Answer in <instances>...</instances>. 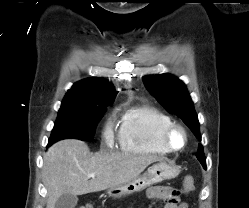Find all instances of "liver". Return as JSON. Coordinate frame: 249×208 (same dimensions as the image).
Masks as SVG:
<instances>
[{
  "label": "liver",
  "mask_w": 249,
  "mask_h": 208,
  "mask_svg": "<svg viewBox=\"0 0 249 208\" xmlns=\"http://www.w3.org/2000/svg\"><path fill=\"white\" fill-rule=\"evenodd\" d=\"M156 161L162 158L106 151L91 154L83 141H58L44 155L42 177L48 196L46 208H55L56 201L66 193L77 196L128 183ZM91 173L95 178L88 177Z\"/></svg>",
  "instance_id": "1"
}]
</instances>
